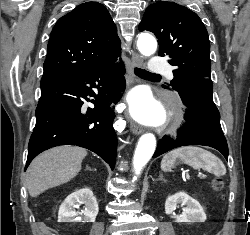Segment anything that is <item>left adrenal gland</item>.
Instances as JSON below:
<instances>
[{"label":"left adrenal gland","instance_id":"obj_1","mask_svg":"<svg viewBox=\"0 0 250 235\" xmlns=\"http://www.w3.org/2000/svg\"><path fill=\"white\" fill-rule=\"evenodd\" d=\"M158 180H159V181L161 180V181L166 182V180L163 178V175H162V174H160V178H159Z\"/></svg>","mask_w":250,"mask_h":235}]
</instances>
